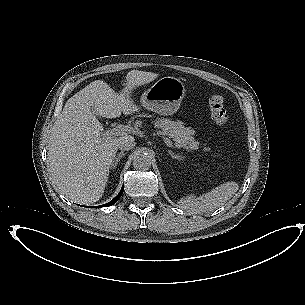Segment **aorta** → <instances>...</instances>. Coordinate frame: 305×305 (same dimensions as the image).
Wrapping results in <instances>:
<instances>
[{"label": "aorta", "mask_w": 305, "mask_h": 305, "mask_svg": "<svg viewBox=\"0 0 305 305\" xmlns=\"http://www.w3.org/2000/svg\"><path fill=\"white\" fill-rule=\"evenodd\" d=\"M152 155L147 150H140L133 158V167L137 170H147L151 167Z\"/></svg>", "instance_id": "1"}]
</instances>
